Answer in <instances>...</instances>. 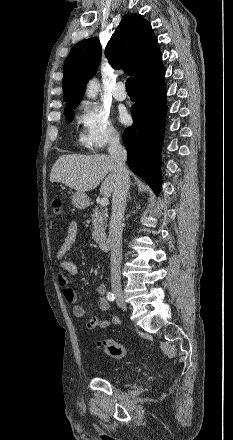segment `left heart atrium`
<instances>
[{"instance_id":"left-heart-atrium-1","label":"left heart atrium","mask_w":233,"mask_h":440,"mask_svg":"<svg viewBox=\"0 0 233 440\" xmlns=\"http://www.w3.org/2000/svg\"><path fill=\"white\" fill-rule=\"evenodd\" d=\"M120 119H121V121H123V122H125L126 120H127V115H126V113H121L120 114Z\"/></svg>"}]
</instances>
